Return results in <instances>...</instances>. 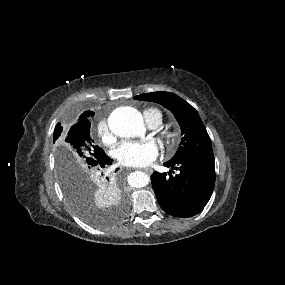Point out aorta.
I'll use <instances>...</instances> for the list:
<instances>
[{"label":"aorta","mask_w":285,"mask_h":285,"mask_svg":"<svg viewBox=\"0 0 285 285\" xmlns=\"http://www.w3.org/2000/svg\"><path fill=\"white\" fill-rule=\"evenodd\" d=\"M108 126L111 132L119 137L143 136L145 133L142 114L130 106L113 110L108 118ZM149 180V176L141 171H135L128 177V183L136 188L145 187Z\"/></svg>","instance_id":"aorta-1"}]
</instances>
